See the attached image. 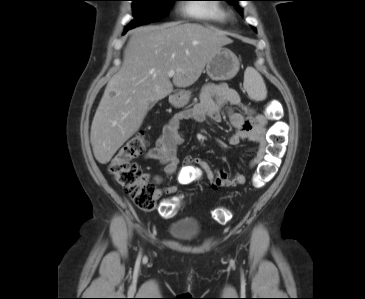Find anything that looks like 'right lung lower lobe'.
<instances>
[{"instance_id": "1", "label": "right lung lower lobe", "mask_w": 365, "mask_h": 299, "mask_svg": "<svg viewBox=\"0 0 365 299\" xmlns=\"http://www.w3.org/2000/svg\"><path fill=\"white\" fill-rule=\"evenodd\" d=\"M127 30H129V29H125V32H124V33H126V32H127Z\"/></svg>"}]
</instances>
